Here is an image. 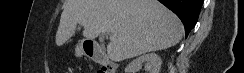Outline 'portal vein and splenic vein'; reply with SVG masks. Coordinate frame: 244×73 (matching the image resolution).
<instances>
[{"label":"portal vein and splenic vein","instance_id":"obj_1","mask_svg":"<svg viewBox=\"0 0 244 73\" xmlns=\"http://www.w3.org/2000/svg\"><path fill=\"white\" fill-rule=\"evenodd\" d=\"M110 39H111V40L115 39V35L110 34Z\"/></svg>","mask_w":244,"mask_h":73}]
</instances>
